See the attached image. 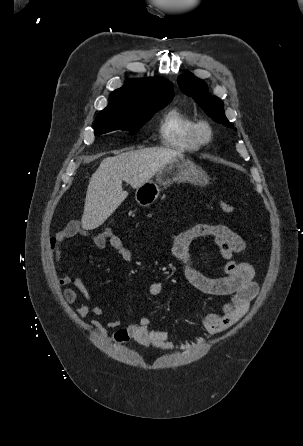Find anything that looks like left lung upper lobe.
Listing matches in <instances>:
<instances>
[{"mask_svg": "<svg viewBox=\"0 0 303 446\" xmlns=\"http://www.w3.org/2000/svg\"><path fill=\"white\" fill-rule=\"evenodd\" d=\"M178 84L180 89L192 96L215 122L232 127L225 116L223 102L217 96L208 93L207 84L202 79L194 77L192 73H186L178 77Z\"/></svg>", "mask_w": 303, "mask_h": 446, "instance_id": "obj_1", "label": "left lung upper lobe"}]
</instances>
